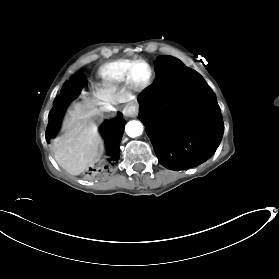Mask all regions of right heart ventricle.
<instances>
[{"label":"right heart ventricle","mask_w":279,"mask_h":279,"mask_svg":"<svg viewBox=\"0 0 279 279\" xmlns=\"http://www.w3.org/2000/svg\"><path fill=\"white\" fill-rule=\"evenodd\" d=\"M130 62L131 60L121 59L107 63L100 68V74L106 81H125Z\"/></svg>","instance_id":"1"}]
</instances>
